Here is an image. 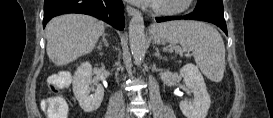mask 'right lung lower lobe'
Masks as SVG:
<instances>
[{"label":"right lung lower lobe","mask_w":273,"mask_h":118,"mask_svg":"<svg viewBox=\"0 0 273 118\" xmlns=\"http://www.w3.org/2000/svg\"><path fill=\"white\" fill-rule=\"evenodd\" d=\"M65 13L91 15L116 29H124V6L121 0H45L43 27L53 17Z\"/></svg>","instance_id":"98d812e1"}]
</instances>
